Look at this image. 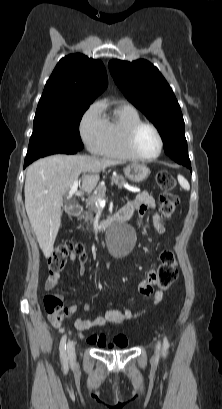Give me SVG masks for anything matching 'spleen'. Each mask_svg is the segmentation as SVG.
I'll return each instance as SVG.
<instances>
[{"label": "spleen", "instance_id": "1", "mask_svg": "<svg viewBox=\"0 0 222 409\" xmlns=\"http://www.w3.org/2000/svg\"><path fill=\"white\" fill-rule=\"evenodd\" d=\"M178 182L180 184V186L184 189L189 191L190 190V185L188 183V181L182 176V175H178Z\"/></svg>", "mask_w": 222, "mask_h": 409}]
</instances>
